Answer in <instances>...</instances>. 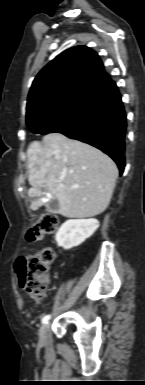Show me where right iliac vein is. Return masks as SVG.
<instances>
[{
	"instance_id": "obj_1",
	"label": "right iliac vein",
	"mask_w": 145,
	"mask_h": 385,
	"mask_svg": "<svg viewBox=\"0 0 145 385\" xmlns=\"http://www.w3.org/2000/svg\"><path fill=\"white\" fill-rule=\"evenodd\" d=\"M48 331H49V323H45L44 325H42L39 331V337L41 341L46 340Z\"/></svg>"
}]
</instances>
